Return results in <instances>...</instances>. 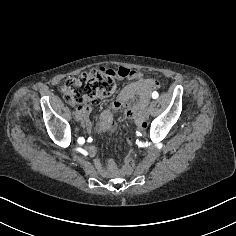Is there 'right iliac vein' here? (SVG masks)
<instances>
[{"label": "right iliac vein", "instance_id": "63e3f726", "mask_svg": "<svg viewBox=\"0 0 236 236\" xmlns=\"http://www.w3.org/2000/svg\"><path fill=\"white\" fill-rule=\"evenodd\" d=\"M80 125L83 126L84 128L87 126V121H81Z\"/></svg>", "mask_w": 236, "mask_h": 236}]
</instances>
